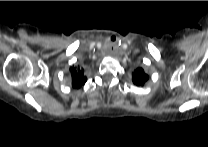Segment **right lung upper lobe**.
<instances>
[{
	"mask_svg": "<svg viewBox=\"0 0 208 147\" xmlns=\"http://www.w3.org/2000/svg\"><path fill=\"white\" fill-rule=\"evenodd\" d=\"M70 73L72 77V86L74 88H80L83 85L87 78L84 76V70L80 67L70 68Z\"/></svg>",
	"mask_w": 208,
	"mask_h": 147,
	"instance_id": "obj_1",
	"label": "right lung upper lobe"
}]
</instances>
